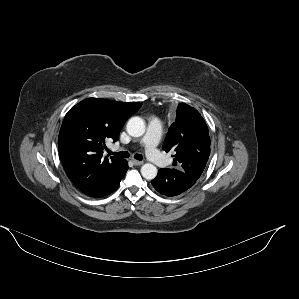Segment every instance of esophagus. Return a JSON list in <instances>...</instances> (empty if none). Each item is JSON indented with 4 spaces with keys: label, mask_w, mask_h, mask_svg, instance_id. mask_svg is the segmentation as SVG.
I'll list each match as a JSON object with an SVG mask.
<instances>
[{
    "label": "esophagus",
    "mask_w": 299,
    "mask_h": 299,
    "mask_svg": "<svg viewBox=\"0 0 299 299\" xmlns=\"http://www.w3.org/2000/svg\"><path fill=\"white\" fill-rule=\"evenodd\" d=\"M132 162L135 166H140L143 164V161H138V160H132Z\"/></svg>",
    "instance_id": "34e87169"
}]
</instances>
